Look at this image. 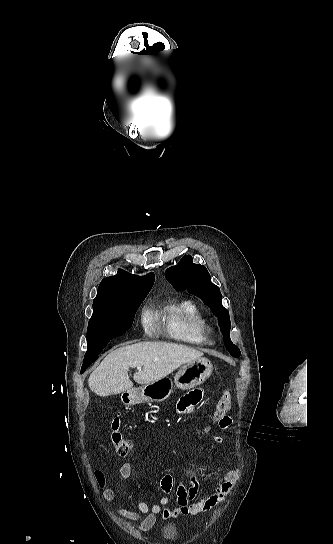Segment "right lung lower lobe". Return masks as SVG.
<instances>
[{
    "mask_svg": "<svg viewBox=\"0 0 333 544\" xmlns=\"http://www.w3.org/2000/svg\"><path fill=\"white\" fill-rule=\"evenodd\" d=\"M89 366H90V364L87 365V366L82 367V368H81V373H83V372L87 369V367H89Z\"/></svg>",
    "mask_w": 333,
    "mask_h": 544,
    "instance_id": "98d812e1",
    "label": "right lung lower lobe"
}]
</instances>
